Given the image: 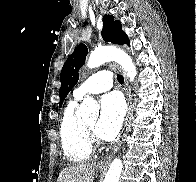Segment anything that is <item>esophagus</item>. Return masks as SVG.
Listing matches in <instances>:
<instances>
[{"label": "esophagus", "mask_w": 196, "mask_h": 182, "mask_svg": "<svg viewBox=\"0 0 196 182\" xmlns=\"http://www.w3.org/2000/svg\"><path fill=\"white\" fill-rule=\"evenodd\" d=\"M123 75H124V90H125V96H126V100H127V106H128V109H127V114H126V118H125V122H124V126H123V129L121 131V137L119 139V141L117 142V144L114 146L111 154L104 160L98 162V166L99 167H104V166H107L108 163L111 161V159L113 158L114 154L117 152V150L119 149L121 143H122V139H123V136L126 132V129H127V124H128V119H129V116H130V110H131V100H130V92H129V86H128V81H127V78H126V74L125 72L123 71Z\"/></svg>", "instance_id": "obj_1"}]
</instances>
